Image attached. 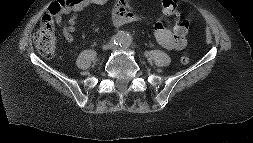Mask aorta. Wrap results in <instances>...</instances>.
Here are the masks:
<instances>
[{
	"instance_id": "aorta-1",
	"label": "aorta",
	"mask_w": 253,
	"mask_h": 143,
	"mask_svg": "<svg viewBox=\"0 0 253 143\" xmlns=\"http://www.w3.org/2000/svg\"><path fill=\"white\" fill-rule=\"evenodd\" d=\"M127 38H128V34H126L125 32H121L120 42L124 43Z\"/></svg>"
}]
</instances>
